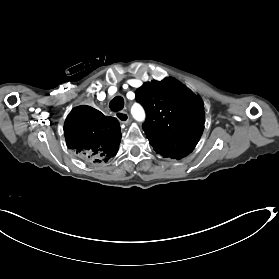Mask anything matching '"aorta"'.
Masks as SVG:
<instances>
[{
    "instance_id": "obj_1",
    "label": "aorta",
    "mask_w": 279,
    "mask_h": 279,
    "mask_svg": "<svg viewBox=\"0 0 279 279\" xmlns=\"http://www.w3.org/2000/svg\"><path fill=\"white\" fill-rule=\"evenodd\" d=\"M132 114L134 115V117H135L136 119H140V118H141V115H142V110H141L140 108H138V107H134V108L132 109Z\"/></svg>"
}]
</instances>
